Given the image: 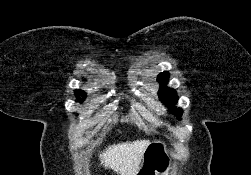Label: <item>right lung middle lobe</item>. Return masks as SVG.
Returning <instances> with one entry per match:
<instances>
[{
    "label": "right lung middle lobe",
    "mask_w": 251,
    "mask_h": 175,
    "mask_svg": "<svg viewBox=\"0 0 251 175\" xmlns=\"http://www.w3.org/2000/svg\"><path fill=\"white\" fill-rule=\"evenodd\" d=\"M76 96H77L78 100H79L80 102H82V101L85 100L86 93H85L84 91H82V90H77V91H76ZM80 96H82V98H81Z\"/></svg>",
    "instance_id": "1"
}]
</instances>
